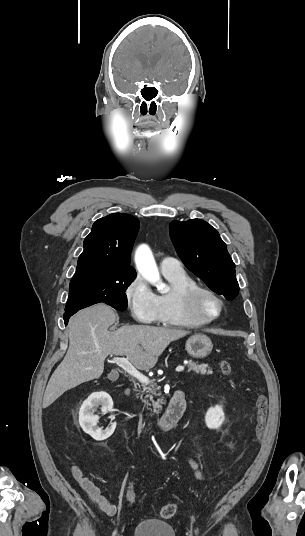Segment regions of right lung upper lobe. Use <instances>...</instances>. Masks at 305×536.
Segmentation results:
<instances>
[{
  "mask_svg": "<svg viewBox=\"0 0 305 536\" xmlns=\"http://www.w3.org/2000/svg\"><path fill=\"white\" fill-rule=\"evenodd\" d=\"M138 229L139 220L132 215L115 213L98 219L84 240L73 277L136 275L130 255Z\"/></svg>",
  "mask_w": 305,
  "mask_h": 536,
  "instance_id": "obj_1",
  "label": "right lung upper lobe"
}]
</instances>
